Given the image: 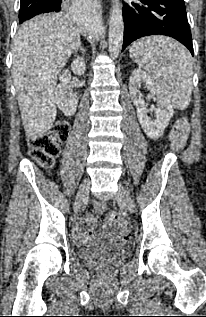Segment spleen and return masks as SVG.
I'll list each match as a JSON object with an SVG mask.
<instances>
[{
    "label": "spleen",
    "mask_w": 206,
    "mask_h": 317,
    "mask_svg": "<svg viewBox=\"0 0 206 317\" xmlns=\"http://www.w3.org/2000/svg\"><path fill=\"white\" fill-rule=\"evenodd\" d=\"M131 59L143 67L171 106L183 110L192 93V57L180 43L169 37L150 36L135 41Z\"/></svg>",
    "instance_id": "obj_1"
}]
</instances>
